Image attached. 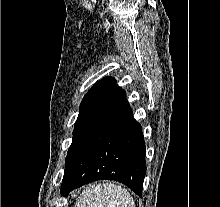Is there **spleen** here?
<instances>
[{
    "label": "spleen",
    "instance_id": "spleen-1",
    "mask_svg": "<svg viewBox=\"0 0 220 207\" xmlns=\"http://www.w3.org/2000/svg\"><path fill=\"white\" fill-rule=\"evenodd\" d=\"M76 207H135V203L122 186L113 182H100L83 190Z\"/></svg>",
    "mask_w": 220,
    "mask_h": 207
}]
</instances>
